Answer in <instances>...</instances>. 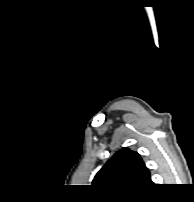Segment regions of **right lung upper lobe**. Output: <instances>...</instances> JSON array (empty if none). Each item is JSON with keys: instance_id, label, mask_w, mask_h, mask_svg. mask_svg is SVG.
I'll return each mask as SVG.
<instances>
[{"instance_id": "1", "label": "right lung upper lobe", "mask_w": 194, "mask_h": 202, "mask_svg": "<svg viewBox=\"0 0 194 202\" xmlns=\"http://www.w3.org/2000/svg\"><path fill=\"white\" fill-rule=\"evenodd\" d=\"M92 185L106 192L129 193L146 190L154 183L140 155L123 148L101 168Z\"/></svg>"}]
</instances>
